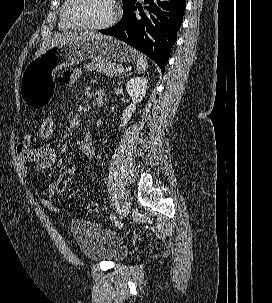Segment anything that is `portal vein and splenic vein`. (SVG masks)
I'll use <instances>...</instances> for the list:
<instances>
[{
  "mask_svg": "<svg viewBox=\"0 0 272 303\" xmlns=\"http://www.w3.org/2000/svg\"><path fill=\"white\" fill-rule=\"evenodd\" d=\"M124 71H125L124 68H119V69H118V72H119V73H123Z\"/></svg>",
  "mask_w": 272,
  "mask_h": 303,
  "instance_id": "1",
  "label": "portal vein and splenic vein"
}]
</instances>
